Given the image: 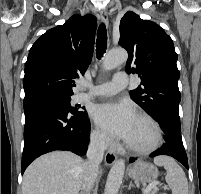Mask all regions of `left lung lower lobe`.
Returning <instances> with one entry per match:
<instances>
[{"label": "left lung lower lobe", "instance_id": "1", "mask_svg": "<svg viewBox=\"0 0 201 194\" xmlns=\"http://www.w3.org/2000/svg\"><path fill=\"white\" fill-rule=\"evenodd\" d=\"M155 118L157 119L161 129L165 133L166 143L160 149L153 152L150 156H171L182 163L188 169L187 155L181 137L179 112L174 110H161L158 112ZM133 161L135 160H130V162Z\"/></svg>", "mask_w": 201, "mask_h": 194}]
</instances>
